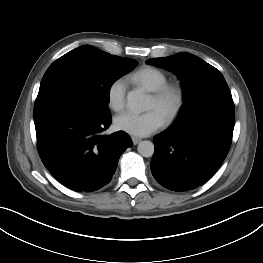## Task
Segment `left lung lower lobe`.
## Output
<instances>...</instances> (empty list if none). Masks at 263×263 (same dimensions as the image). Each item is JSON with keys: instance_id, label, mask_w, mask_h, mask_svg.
I'll list each match as a JSON object with an SVG mask.
<instances>
[{"instance_id": "0a47b994", "label": "left lung lower lobe", "mask_w": 263, "mask_h": 263, "mask_svg": "<svg viewBox=\"0 0 263 263\" xmlns=\"http://www.w3.org/2000/svg\"><path fill=\"white\" fill-rule=\"evenodd\" d=\"M234 124V108H218L189 120H177L153 139L151 172L155 180L178 192L206 183L229 152Z\"/></svg>"}]
</instances>
